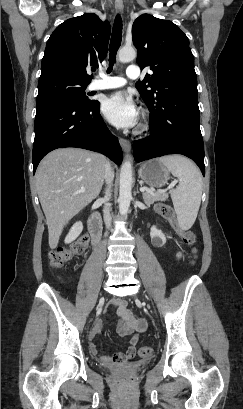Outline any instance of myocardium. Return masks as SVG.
Wrapping results in <instances>:
<instances>
[{
  "label": "myocardium",
  "instance_id": "1",
  "mask_svg": "<svg viewBox=\"0 0 243 409\" xmlns=\"http://www.w3.org/2000/svg\"><path fill=\"white\" fill-rule=\"evenodd\" d=\"M149 128H150V125L147 120V117L145 114H143L136 127L135 133L139 135L146 134L149 131Z\"/></svg>",
  "mask_w": 243,
  "mask_h": 409
}]
</instances>
